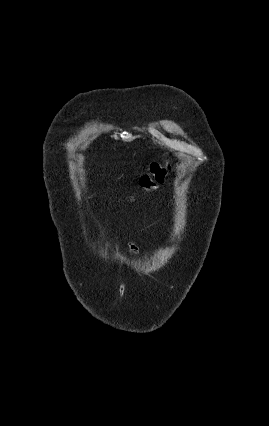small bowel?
Listing matches in <instances>:
<instances>
[{
  "label": "small bowel",
  "instance_id": "c3829d8e",
  "mask_svg": "<svg viewBox=\"0 0 269 426\" xmlns=\"http://www.w3.org/2000/svg\"><path fill=\"white\" fill-rule=\"evenodd\" d=\"M108 248L112 251V252H114V253H116V248L114 247V246H112V245H109L108 246ZM128 249H129V253H130V255H131V257L134 259L136 256H137V252H138V248H137V246L135 245V243H133V242H129L128 243Z\"/></svg>",
  "mask_w": 269,
  "mask_h": 426
}]
</instances>
